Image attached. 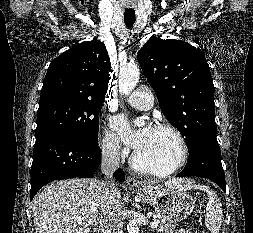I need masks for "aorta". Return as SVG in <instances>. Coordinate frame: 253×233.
I'll return each mask as SVG.
<instances>
[{"label":"aorta","instance_id":"1","mask_svg":"<svg viewBox=\"0 0 253 233\" xmlns=\"http://www.w3.org/2000/svg\"><path fill=\"white\" fill-rule=\"evenodd\" d=\"M140 77V71L136 64H130L120 69L119 73V89L122 94H129L137 85ZM135 124L142 125L141 120H136ZM128 233H139V227L135 220H131L127 224Z\"/></svg>","mask_w":253,"mask_h":233}]
</instances>
